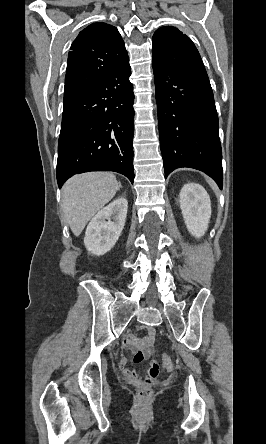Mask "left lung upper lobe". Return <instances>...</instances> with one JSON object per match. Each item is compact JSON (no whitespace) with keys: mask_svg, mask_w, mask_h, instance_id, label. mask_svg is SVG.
Segmentation results:
<instances>
[{"mask_svg":"<svg viewBox=\"0 0 266 444\" xmlns=\"http://www.w3.org/2000/svg\"><path fill=\"white\" fill-rule=\"evenodd\" d=\"M152 43L154 60L184 74L207 75L194 43L177 28H159L153 35Z\"/></svg>","mask_w":266,"mask_h":444,"instance_id":"5c2ea615","label":"left lung upper lobe"}]
</instances>
